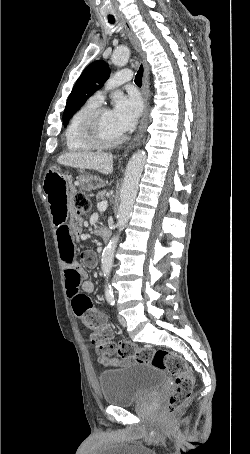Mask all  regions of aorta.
Returning a JSON list of instances; mask_svg holds the SVG:
<instances>
[{
  "instance_id": "aorta-1",
  "label": "aorta",
  "mask_w": 250,
  "mask_h": 454,
  "mask_svg": "<svg viewBox=\"0 0 250 454\" xmlns=\"http://www.w3.org/2000/svg\"><path fill=\"white\" fill-rule=\"evenodd\" d=\"M129 48L118 47L112 56V61L117 66H124L129 59ZM146 162V153L143 150L135 152L126 167L123 185L120 193V206L117 214V228L119 232L114 235L108 245L104 248L101 258L102 271L105 277L110 275L115 249L121 231L125 228L131 218L134 202L137 196L138 185ZM105 296L107 299L113 297V291L109 285H105Z\"/></svg>"
}]
</instances>
